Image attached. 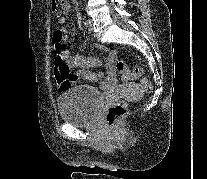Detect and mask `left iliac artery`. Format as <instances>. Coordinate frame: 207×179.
Listing matches in <instances>:
<instances>
[{
  "label": "left iliac artery",
  "mask_w": 207,
  "mask_h": 179,
  "mask_svg": "<svg viewBox=\"0 0 207 179\" xmlns=\"http://www.w3.org/2000/svg\"><path fill=\"white\" fill-rule=\"evenodd\" d=\"M84 24H85V25H88V21L86 20V21L84 22Z\"/></svg>",
  "instance_id": "obj_1"
}]
</instances>
